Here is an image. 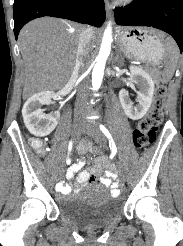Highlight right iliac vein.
Masks as SVG:
<instances>
[{
	"label": "right iliac vein",
	"mask_w": 183,
	"mask_h": 246,
	"mask_svg": "<svg viewBox=\"0 0 183 246\" xmlns=\"http://www.w3.org/2000/svg\"><path fill=\"white\" fill-rule=\"evenodd\" d=\"M83 130V124L81 122H76L72 130V139L76 141Z\"/></svg>",
	"instance_id": "1"
}]
</instances>
